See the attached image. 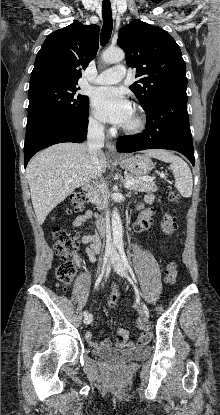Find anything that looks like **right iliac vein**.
I'll return each instance as SVG.
<instances>
[{"mask_svg":"<svg viewBox=\"0 0 220 415\" xmlns=\"http://www.w3.org/2000/svg\"><path fill=\"white\" fill-rule=\"evenodd\" d=\"M110 255V253L109 252H107L106 254H105V256H104V258L102 259V261H101V265H100V272L102 273L103 271H104V268H105V264H106V261H107V258H108V256ZM92 322V315L91 314H89L88 316H86L85 317V319H84V323L85 324H90Z\"/></svg>","mask_w":220,"mask_h":415,"instance_id":"1","label":"right iliac vein"}]
</instances>
